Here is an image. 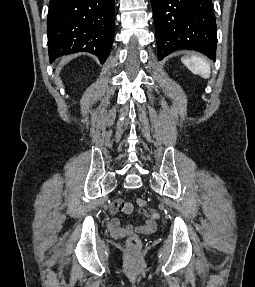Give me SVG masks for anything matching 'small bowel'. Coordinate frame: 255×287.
Listing matches in <instances>:
<instances>
[{
  "instance_id": "c3829d8e",
  "label": "small bowel",
  "mask_w": 255,
  "mask_h": 287,
  "mask_svg": "<svg viewBox=\"0 0 255 287\" xmlns=\"http://www.w3.org/2000/svg\"><path fill=\"white\" fill-rule=\"evenodd\" d=\"M110 211L113 214L122 212L129 214L133 211V204L123 199H116L110 206ZM146 217L144 224L133 225L125 224L119 218L114 217L110 222V230L116 235H127L131 233H152L157 227L159 213L155 209H147L142 211Z\"/></svg>"
}]
</instances>
